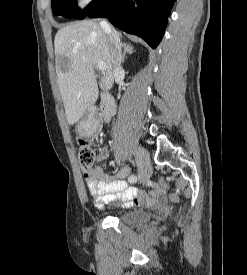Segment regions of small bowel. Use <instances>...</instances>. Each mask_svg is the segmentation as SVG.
<instances>
[{
    "label": "small bowel",
    "instance_id": "c3829d8e",
    "mask_svg": "<svg viewBox=\"0 0 247 275\" xmlns=\"http://www.w3.org/2000/svg\"><path fill=\"white\" fill-rule=\"evenodd\" d=\"M95 126V123H92ZM109 157L107 149H100L97 157L98 162H102ZM130 173L128 167H124L114 175L105 173L100 167H96L84 174V182L95 205L103 207L105 204L113 202L119 198L126 200L125 206L131 205H151L164 200L166 186L163 183L149 181V190L143 191L128 187L124 180Z\"/></svg>",
    "mask_w": 247,
    "mask_h": 275
}]
</instances>
